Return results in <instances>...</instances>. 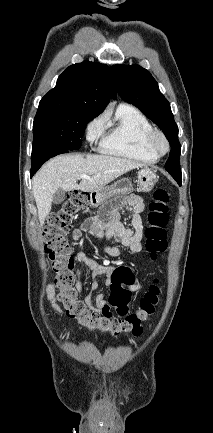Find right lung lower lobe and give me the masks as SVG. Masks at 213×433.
I'll return each mask as SVG.
<instances>
[{"label": "right lung lower lobe", "mask_w": 213, "mask_h": 433, "mask_svg": "<svg viewBox=\"0 0 213 433\" xmlns=\"http://www.w3.org/2000/svg\"><path fill=\"white\" fill-rule=\"evenodd\" d=\"M69 151L70 150L59 146H45L38 150L32 151V166L30 172L31 177L49 158L58 154L67 153Z\"/></svg>", "instance_id": "98d812e1"}]
</instances>
